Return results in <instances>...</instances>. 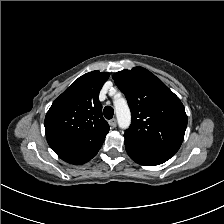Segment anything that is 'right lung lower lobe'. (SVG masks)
Returning <instances> with one entry per match:
<instances>
[{"label":"right lung lower lobe","instance_id":"98d812e1","mask_svg":"<svg viewBox=\"0 0 224 224\" xmlns=\"http://www.w3.org/2000/svg\"><path fill=\"white\" fill-rule=\"evenodd\" d=\"M46 137L50 147L61 159L75 165L86 163L92 159L104 142L89 145L73 137L56 133L47 134Z\"/></svg>","mask_w":224,"mask_h":224}]
</instances>
